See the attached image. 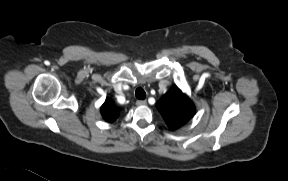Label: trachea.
<instances>
[{"instance_id":"3493384b","label":"trachea","mask_w":288,"mask_h":181,"mask_svg":"<svg viewBox=\"0 0 288 181\" xmlns=\"http://www.w3.org/2000/svg\"><path fill=\"white\" fill-rule=\"evenodd\" d=\"M135 95L139 100H144L146 98V93L141 87L136 89Z\"/></svg>"}]
</instances>
